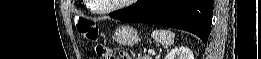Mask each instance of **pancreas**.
I'll use <instances>...</instances> for the list:
<instances>
[{
	"label": "pancreas",
	"instance_id": "obj_1",
	"mask_svg": "<svg viewBox=\"0 0 261 59\" xmlns=\"http://www.w3.org/2000/svg\"><path fill=\"white\" fill-rule=\"evenodd\" d=\"M137 59H151V57L149 55H146V54H144V55L138 54Z\"/></svg>",
	"mask_w": 261,
	"mask_h": 59
}]
</instances>
